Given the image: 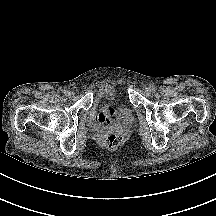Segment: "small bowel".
I'll list each match as a JSON object with an SVG mask.
<instances>
[{
    "mask_svg": "<svg viewBox=\"0 0 216 216\" xmlns=\"http://www.w3.org/2000/svg\"><path fill=\"white\" fill-rule=\"evenodd\" d=\"M116 112L109 107H102L99 112L93 116L95 126L108 125Z\"/></svg>",
    "mask_w": 216,
    "mask_h": 216,
    "instance_id": "obj_1",
    "label": "small bowel"
}]
</instances>
